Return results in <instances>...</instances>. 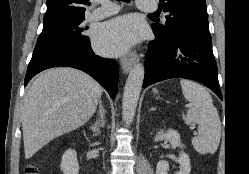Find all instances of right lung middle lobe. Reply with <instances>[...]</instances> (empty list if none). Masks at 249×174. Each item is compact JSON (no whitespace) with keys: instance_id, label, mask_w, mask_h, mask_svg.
<instances>
[{"instance_id":"right-lung-middle-lobe-1","label":"right lung middle lobe","mask_w":249,"mask_h":174,"mask_svg":"<svg viewBox=\"0 0 249 174\" xmlns=\"http://www.w3.org/2000/svg\"><path fill=\"white\" fill-rule=\"evenodd\" d=\"M84 20L85 17H81L43 26L34 51L59 45L90 43L83 34L87 30L83 25Z\"/></svg>"}]
</instances>
